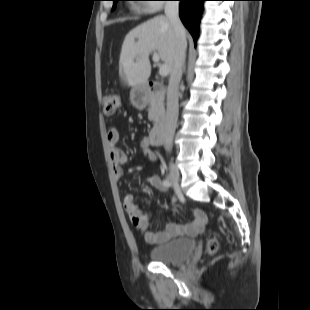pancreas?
<instances>
[{
  "label": "pancreas",
  "instance_id": "cf45deb5",
  "mask_svg": "<svg viewBox=\"0 0 310 310\" xmlns=\"http://www.w3.org/2000/svg\"><path fill=\"white\" fill-rule=\"evenodd\" d=\"M164 114V104L161 98L153 97L151 105L148 109V119L153 122H158Z\"/></svg>",
  "mask_w": 310,
  "mask_h": 310
}]
</instances>
